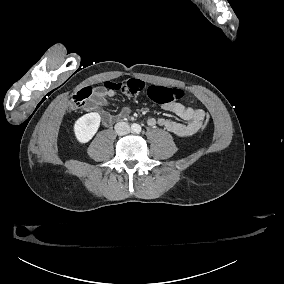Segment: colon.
<instances>
[{"instance_id":"obj_1","label":"colon","mask_w":284,"mask_h":284,"mask_svg":"<svg viewBox=\"0 0 284 284\" xmlns=\"http://www.w3.org/2000/svg\"><path fill=\"white\" fill-rule=\"evenodd\" d=\"M102 86L108 90H119L127 94H134L141 92L145 88V82L138 79H131L122 83L106 81ZM92 92V86H87L75 92L70 101L71 110H79L86 98H88ZM147 95L149 99L160 103H165L167 101H180L186 96L185 92L180 88H164L162 86H153L149 88ZM204 122L205 123L202 124V132L206 133L208 131L207 126L211 124V117L209 114L205 115Z\"/></svg>"}]
</instances>
